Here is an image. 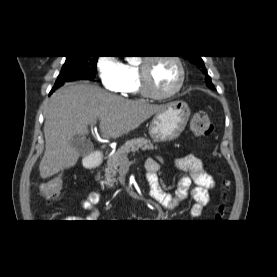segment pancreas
I'll return each mask as SVG.
<instances>
[{"instance_id":"1","label":"pancreas","mask_w":277,"mask_h":277,"mask_svg":"<svg viewBox=\"0 0 277 277\" xmlns=\"http://www.w3.org/2000/svg\"><path fill=\"white\" fill-rule=\"evenodd\" d=\"M154 148L157 149V146L154 147L151 141L145 138H135L127 141L117 152L107 158V168L105 169L104 179L100 182L101 185H106L108 188L114 186L118 168L128 160V153H135L139 149L153 150Z\"/></svg>"}]
</instances>
